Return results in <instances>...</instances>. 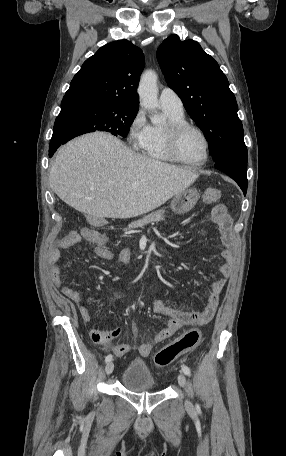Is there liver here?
Segmentation results:
<instances>
[{
	"instance_id": "liver-1",
	"label": "liver",
	"mask_w": 286,
	"mask_h": 456,
	"mask_svg": "<svg viewBox=\"0 0 286 456\" xmlns=\"http://www.w3.org/2000/svg\"><path fill=\"white\" fill-rule=\"evenodd\" d=\"M198 173L127 148L107 133L80 136L59 149L49 183L58 197L94 218L148 213L187 189Z\"/></svg>"
}]
</instances>
